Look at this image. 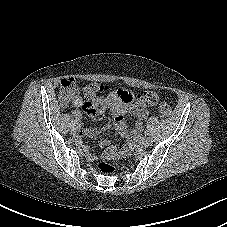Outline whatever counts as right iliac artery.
Returning a JSON list of instances; mask_svg holds the SVG:
<instances>
[{
	"label": "right iliac artery",
	"instance_id": "82829eb1",
	"mask_svg": "<svg viewBox=\"0 0 227 227\" xmlns=\"http://www.w3.org/2000/svg\"><path fill=\"white\" fill-rule=\"evenodd\" d=\"M72 126H73V128L77 129V128H79L80 125H79V123L75 122V123H73Z\"/></svg>",
	"mask_w": 227,
	"mask_h": 227
}]
</instances>
